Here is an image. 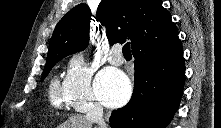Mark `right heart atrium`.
<instances>
[{
  "mask_svg": "<svg viewBox=\"0 0 221 128\" xmlns=\"http://www.w3.org/2000/svg\"><path fill=\"white\" fill-rule=\"evenodd\" d=\"M93 69L80 54L69 61V69L64 78V86L71 99V108L83 112L86 107L99 108L91 87Z\"/></svg>",
  "mask_w": 221,
  "mask_h": 128,
  "instance_id": "1",
  "label": "right heart atrium"
}]
</instances>
